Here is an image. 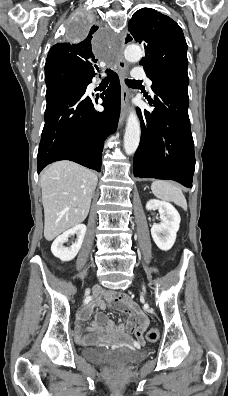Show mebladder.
I'll list each match as a JSON object with an SVG mask.
<instances>
[{"instance_id": "1", "label": "bladder", "mask_w": 228, "mask_h": 396, "mask_svg": "<svg viewBox=\"0 0 228 396\" xmlns=\"http://www.w3.org/2000/svg\"><path fill=\"white\" fill-rule=\"evenodd\" d=\"M83 356L94 363L128 364L145 358L149 351L146 349L132 350L129 348L88 347L82 352Z\"/></svg>"}]
</instances>
